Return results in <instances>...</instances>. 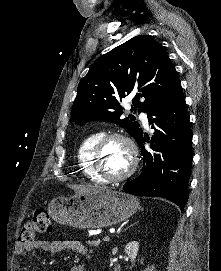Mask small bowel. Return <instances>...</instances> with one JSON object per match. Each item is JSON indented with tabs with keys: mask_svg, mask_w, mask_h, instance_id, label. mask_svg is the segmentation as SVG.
<instances>
[{
	"mask_svg": "<svg viewBox=\"0 0 221 271\" xmlns=\"http://www.w3.org/2000/svg\"><path fill=\"white\" fill-rule=\"evenodd\" d=\"M42 250L50 254H58L64 250L74 251L80 255H87L88 249L78 240L73 239H55L52 241L46 239H34L26 244H18L15 248V254L20 255L33 250ZM70 271H85L82 265H74Z\"/></svg>",
	"mask_w": 221,
	"mask_h": 271,
	"instance_id": "small-bowel-1",
	"label": "small bowel"
}]
</instances>
